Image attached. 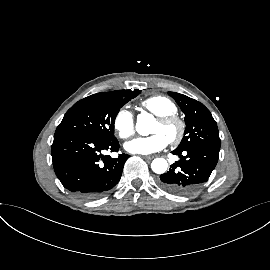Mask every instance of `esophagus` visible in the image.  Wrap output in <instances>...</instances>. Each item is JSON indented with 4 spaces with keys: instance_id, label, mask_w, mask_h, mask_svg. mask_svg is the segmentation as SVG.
<instances>
[{
    "instance_id": "esophagus-1",
    "label": "esophagus",
    "mask_w": 270,
    "mask_h": 270,
    "mask_svg": "<svg viewBox=\"0 0 270 270\" xmlns=\"http://www.w3.org/2000/svg\"><path fill=\"white\" fill-rule=\"evenodd\" d=\"M143 158L146 159V160H151V159L154 158V156H152V155H146V156H143Z\"/></svg>"
}]
</instances>
